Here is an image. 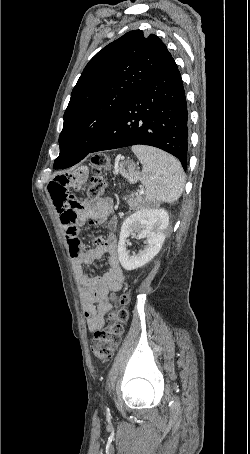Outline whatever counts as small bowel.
Masks as SVG:
<instances>
[{"label":"small bowel","mask_w":250,"mask_h":454,"mask_svg":"<svg viewBox=\"0 0 250 454\" xmlns=\"http://www.w3.org/2000/svg\"><path fill=\"white\" fill-rule=\"evenodd\" d=\"M84 181L82 174L74 177L59 176L49 183L48 191L68 242L88 328L95 331L105 325V317L112 308L107 295L119 290L126 276L120 264L117 239L113 231L107 238H97V246L91 249H86L79 238V228L87 220L92 224L106 223L110 228L114 223L113 202L110 198L88 202L73 195L72 190L80 189ZM104 255L108 259L106 272L102 276H89L83 266L91 265Z\"/></svg>","instance_id":"small-bowel-1"}]
</instances>
